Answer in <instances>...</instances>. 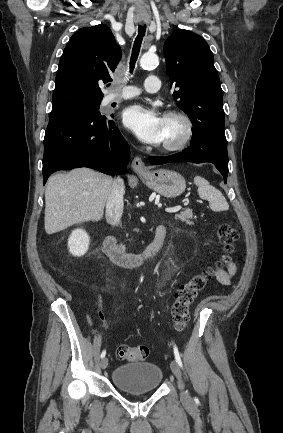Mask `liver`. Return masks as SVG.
<instances>
[{
	"mask_svg": "<svg viewBox=\"0 0 283 433\" xmlns=\"http://www.w3.org/2000/svg\"><path fill=\"white\" fill-rule=\"evenodd\" d=\"M112 176L92 168H74L50 176L45 190V231H63L76 223L101 221L111 192Z\"/></svg>",
	"mask_w": 283,
	"mask_h": 433,
	"instance_id": "1",
	"label": "liver"
}]
</instances>
